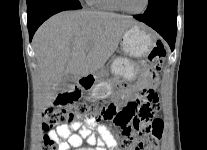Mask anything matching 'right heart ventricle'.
Listing matches in <instances>:
<instances>
[{
	"label": "right heart ventricle",
	"mask_w": 207,
	"mask_h": 150,
	"mask_svg": "<svg viewBox=\"0 0 207 150\" xmlns=\"http://www.w3.org/2000/svg\"><path fill=\"white\" fill-rule=\"evenodd\" d=\"M88 4L98 10L116 12L119 8L113 0H88Z\"/></svg>",
	"instance_id": "e07e8e85"
}]
</instances>
